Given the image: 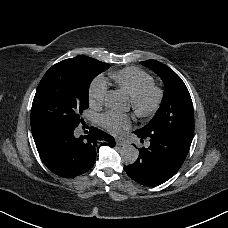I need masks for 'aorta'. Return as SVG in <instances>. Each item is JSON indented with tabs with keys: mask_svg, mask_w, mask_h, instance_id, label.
<instances>
[{
	"mask_svg": "<svg viewBox=\"0 0 228 228\" xmlns=\"http://www.w3.org/2000/svg\"><path fill=\"white\" fill-rule=\"evenodd\" d=\"M105 104L108 108L118 111H125L127 108V98L119 91H109L105 98ZM121 159L127 165L136 162L139 152L133 145H124L120 151Z\"/></svg>",
	"mask_w": 228,
	"mask_h": 228,
	"instance_id": "1",
	"label": "aorta"
}]
</instances>
